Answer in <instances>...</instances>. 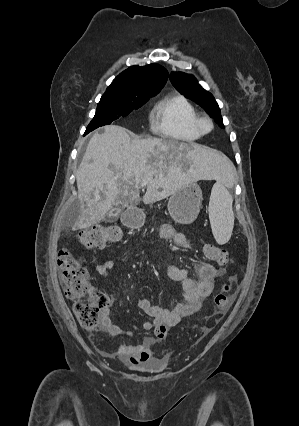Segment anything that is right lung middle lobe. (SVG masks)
I'll use <instances>...</instances> for the list:
<instances>
[{"label": "right lung middle lobe", "instance_id": "dd1d6c3e", "mask_svg": "<svg viewBox=\"0 0 299 426\" xmlns=\"http://www.w3.org/2000/svg\"><path fill=\"white\" fill-rule=\"evenodd\" d=\"M158 92L147 91L136 98H124L109 92L104 93L97 105L93 120L86 128L85 134L100 126L109 125L119 117L127 116L131 111L140 108L150 97L155 96Z\"/></svg>", "mask_w": 299, "mask_h": 426}]
</instances>
